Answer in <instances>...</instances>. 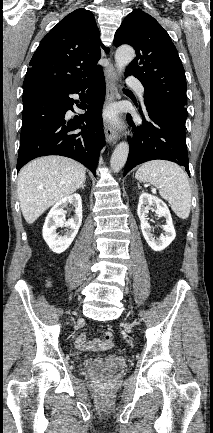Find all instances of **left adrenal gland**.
Segmentation results:
<instances>
[{
    "label": "left adrenal gland",
    "mask_w": 213,
    "mask_h": 433,
    "mask_svg": "<svg viewBox=\"0 0 213 433\" xmlns=\"http://www.w3.org/2000/svg\"><path fill=\"white\" fill-rule=\"evenodd\" d=\"M138 188H139V189L141 188L139 183H138Z\"/></svg>",
    "instance_id": "left-adrenal-gland-1"
}]
</instances>
